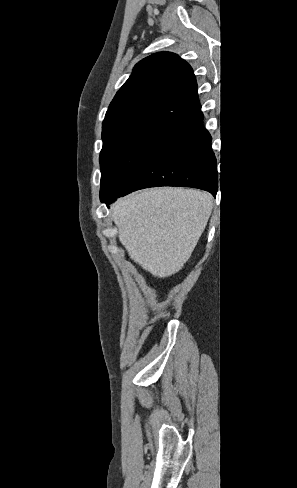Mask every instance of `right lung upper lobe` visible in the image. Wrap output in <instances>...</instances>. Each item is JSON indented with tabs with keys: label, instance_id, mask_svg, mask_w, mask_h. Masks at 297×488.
<instances>
[{
	"label": "right lung upper lobe",
	"instance_id": "1",
	"mask_svg": "<svg viewBox=\"0 0 297 488\" xmlns=\"http://www.w3.org/2000/svg\"><path fill=\"white\" fill-rule=\"evenodd\" d=\"M201 115L191 66L176 54L159 52L137 63L115 95L103 121L102 139L141 128L173 132Z\"/></svg>",
	"mask_w": 297,
	"mask_h": 488
}]
</instances>
